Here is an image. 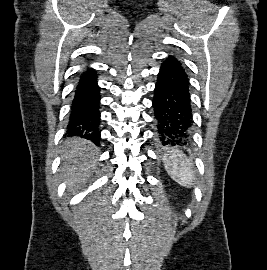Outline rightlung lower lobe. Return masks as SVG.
Wrapping results in <instances>:
<instances>
[{
    "mask_svg": "<svg viewBox=\"0 0 267 270\" xmlns=\"http://www.w3.org/2000/svg\"><path fill=\"white\" fill-rule=\"evenodd\" d=\"M100 88L93 69L82 73L74 91L67 134L100 142Z\"/></svg>",
    "mask_w": 267,
    "mask_h": 270,
    "instance_id": "1",
    "label": "right lung lower lobe"
}]
</instances>
